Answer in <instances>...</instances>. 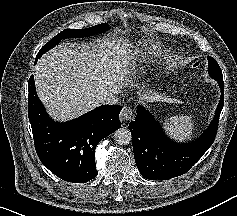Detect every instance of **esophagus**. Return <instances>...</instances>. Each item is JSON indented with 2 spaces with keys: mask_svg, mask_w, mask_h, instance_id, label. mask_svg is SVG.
Listing matches in <instances>:
<instances>
[{
  "mask_svg": "<svg viewBox=\"0 0 237 216\" xmlns=\"http://www.w3.org/2000/svg\"><path fill=\"white\" fill-rule=\"evenodd\" d=\"M133 117V110L129 106H124L120 113V120L123 122L131 120Z\"/></svg>",
  "mask_w": 237,
  "mask_h": 216,
  "instance_id": "34e87169",
  "label": "esophagus"
}]
</instances>
